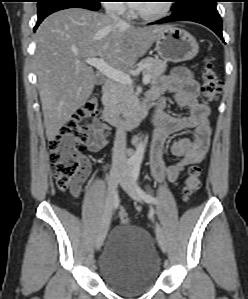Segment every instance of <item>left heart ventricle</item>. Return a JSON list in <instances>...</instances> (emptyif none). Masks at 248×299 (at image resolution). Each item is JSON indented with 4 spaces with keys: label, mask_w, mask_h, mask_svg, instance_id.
Segmentation results:
<instances>
[{
    "label": "left heart ventricle",
    "mask_w": 248,
    "mask_h": 299,
    "mask_svg": "<svg viewBox=\"0 0 248 299\" xmlns=\"http://www.w3.org/2000/svg\"><path fill=\"white\" fill-rule=\"evenodd\" d=\"M162 5V1H150L139 5V9L145 12H154Z\"/></svg>",
    "instance_id": "1"
}]
</instances>
